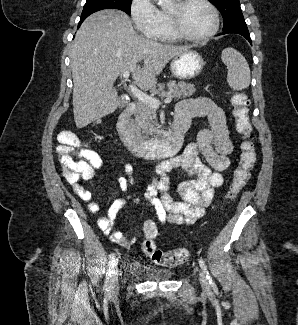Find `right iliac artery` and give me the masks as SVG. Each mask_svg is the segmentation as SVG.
I'll return each instance as SVG.
<instances>
[{"label": "right iliac artery", "mask_w": 298, "mask_h": 325, "mask_svg": "<svg viewBox=\"0 0 298 325\" xmlns=\"http://www.w3.org/2000/svg\"><path fill=\"white\" fill-rule=\"evenodd\" d=\"M115 266H116V258H115V255H113L109 262V268L107 270L106 277H105V282H104V287H103L105 292L109 291V287H108L109 279L114 272Z\"/></svg>", "instance_id": "obj_1"}]
</instances>
